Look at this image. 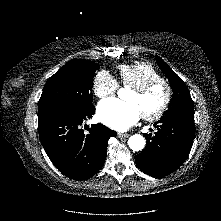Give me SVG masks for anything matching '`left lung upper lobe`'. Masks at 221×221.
<instances>
[{
	"label": "left lung upper lobe",
	"mask_w": 221,
	"mask_h": 221,
	"mask_svg": "<svg viewBox=\"0 0 221 221\" xmlns=\"http://www.w3.org/2000/svg\"><path fill=\"white\" fill-rule=\"evenodd\" d=\"M163 73L170 81L173 96L168 110L162 118L178 116H194V106L184 81L159 57L156 58Z\"/></svg>",
	"instance_id": "obj_1"
}]
</instances>
